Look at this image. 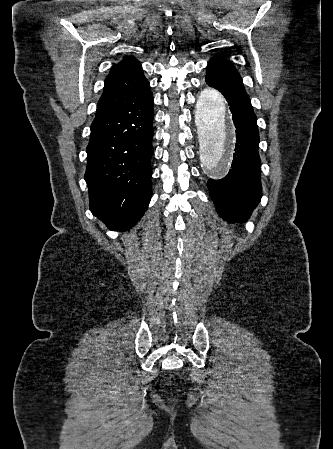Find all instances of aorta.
Returning <instances> with one entry per match:
<instances>
[{
    "mask_svg": "<svg viewBox=\"0 0 333 449\" xmlns=\"http://www.w3.org/2000/svg\"><path fill=\"white\" fill-rule=\"evenodd\" d=\"M196 119L202 140L200 162L219 175L228 165L235 143L226 98L214 88H204L197 102Z\"/></svg>",
    "mask_w": 333,
    "mask_h": 449,
    "instance_id": "obj_1",
    "label": "aorta"
}]
</instances>
